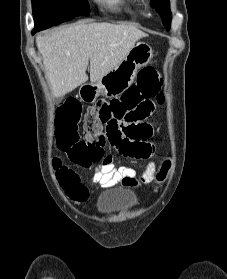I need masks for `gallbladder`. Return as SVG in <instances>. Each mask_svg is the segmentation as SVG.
Returning <instances> with one entry per match:
<instances>
[{"label":"gallbladder","mask_w":227,"mask_h":279,"mask_svg":"<svg viewBox=\"0 0 227 279\" xmlns=\"http://www.w3.org/2000/svg\"><path fill=\"white\" fill-rule=\"evenodd\" d=\"M63 97H59L56 99V103L59 104L62 101Z\"/></svg>","instance_id":"1"}]
</instances>
